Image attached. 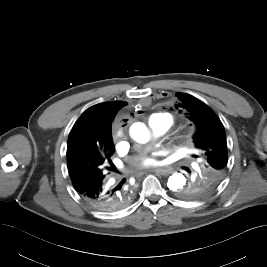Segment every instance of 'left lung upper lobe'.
<instances>
[{
    "instance_id": "5c2ea615",
    "label": "left lung upper lobe",
    "mask_w": 267,
    "mask_h": 267,
    "mask_svg": "<svg viewBox=\"0 0 267 267\" xmlns=\"http://www.w3.org/2000/svg\"><path fill=\"white\" fill-rule=\"evenodd\" d=\"M179 111L187 114L198 131L193 137L199 151L201 171L193 180L178 191L183 199H196L210 194L227 171V142L224 126L218 116L202 101L186 93H178Z\"/></svg>"
}]
</instances>
